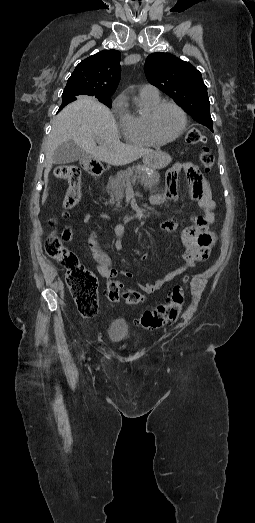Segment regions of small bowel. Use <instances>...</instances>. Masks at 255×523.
Returning <instances> with one entry per match:
<instances>
[{"mask_svg": "<svg viewBox=\"0 0 255 523\" xmlns=\"http://www.w3.org/2000/svg\"><path fill=\"white\" fill-rule=\"evenodd\" d=\"M185 171L190 187V194L194 200L198 202V206L201 208L202 214L200 216H193L191 218L193 225L183 229L181 234V240L185 247L183 253L184 264L176 267L160 277L153 283H141L139 288L146 294H152L162 288L166 283L174 280L184 271L192 268L196 262L205 261L211 252V249L215 242V234L211 230V225L216 222V215L214 213L215 203L212 199V193L210 186L198 167L193 163H185L182 166ZM169 198L176 197V187L172 185L169 190ZM165 197L162 195H156L151 198L152 204H161L164 202ZM101 218H107L106 214H101ZM93 219L91 214H86L83 221L90 223ZM179 226L178 220L168 219L160 224V229L165 232L175 231ZM125 232V226L122 223L117 224L114 227V248L116 250H122L123 248V235ZM72 238L71 227H67L63 234L62 239L64 241H70ZM90 247L93 258L96 262V268L101 277L105 279L112 278L117 275V271L112 268V261L110 256L104 252L98 245L95 236L90 241ZM148 253H144L141 256V260H146ZM121 274L126 278H132V273L129 271H121Z\"/></svg>", "mask_w": 255, "mask_h": 523, "instance_id": "1", "label": "small bowel"}]
</instances>
